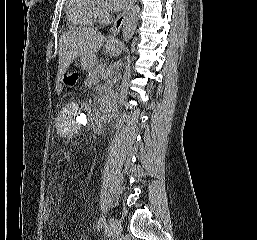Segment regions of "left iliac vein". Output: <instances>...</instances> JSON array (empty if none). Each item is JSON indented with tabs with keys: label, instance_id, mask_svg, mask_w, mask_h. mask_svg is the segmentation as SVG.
<instances>
[{
	"label": "left iliac vein",
	"instance_id": "4c4485c4",
	"mask_svg": "<svg viewBox=\"0 0 257 240\" xmlns=\"http://www.w3.org/2000/svg\"><path fill=\"white\" fill-rule=\"evenodd\" d=\"M121 231H122L121 222L118 219H116L114 217H111L110 220H109V234H110V237L112 239L118 238L121 234Z\"/></svg>",
	"mask_w": 257,
	"mask_h": 240
}]
</instances>
